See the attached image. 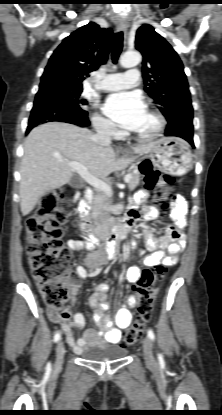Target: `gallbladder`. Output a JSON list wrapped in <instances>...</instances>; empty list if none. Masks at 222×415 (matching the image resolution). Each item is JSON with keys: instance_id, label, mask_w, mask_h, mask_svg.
Returning a JSON list of instances; mask_svg holds the SVG:
<instances>
[{"instance_id": "obj_1", "label": "gallbladder", "mask_w": 222, "mask_h": 415, "mask_svg": "<svg viewBox=\"0 0 222 415\" xmlns=\"http://www.w3.org/2000/svg\"><path fill=\"white\" fill-rule=\"evenodd\" d=\"M69 185L73 188H78L81 186V179L77 176H73L69 181Z\"/></svg>"}]
</instances>
